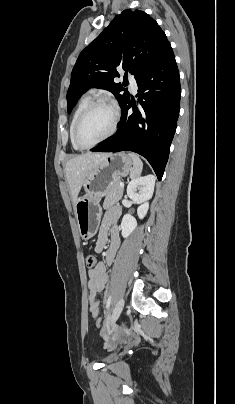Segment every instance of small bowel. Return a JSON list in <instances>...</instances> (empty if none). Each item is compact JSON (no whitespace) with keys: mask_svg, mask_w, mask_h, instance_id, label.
Listing matches in <instances>:
<instances>
[{"mask_svg":"<svg viewBox=\"0 0 235 404\" xmlns=\"http://www.w3.org/2000/svg\"><path fill=\"white\" fill-rule=\"evenodd\" d=\"M120 213L119 207H112L105 213L94 245V250L104 255V261L98 262L88 272L89 310L94 317L100 314V302L97 296L104 291L108 282L107 265L113 262L120 246L117 226Z\"/></svg>","mask_w":235,"mask_h":404,"instance_id":"1","label":"small bowel"}]
</instances>
